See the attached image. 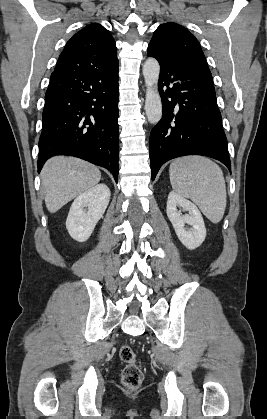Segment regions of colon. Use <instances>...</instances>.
Masks as SVG:
<instances>
[{"label":"colon","instance_id":"1","mask_svg":"<svg viewBox=\"0 0 267 419\" xmlns=\"http://www.w3.org/2000/svg\"><path fill=\"white\" fill-rule=\"evenodd\" d=\"M119 356L125 367L122 371V383L130 389L138 388L143 382V372L137 364L136 354L128 345H123L120 348Z\"/></svg>","mask_w":267,"mask_h":419}]
</instances>
